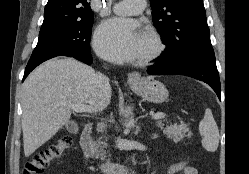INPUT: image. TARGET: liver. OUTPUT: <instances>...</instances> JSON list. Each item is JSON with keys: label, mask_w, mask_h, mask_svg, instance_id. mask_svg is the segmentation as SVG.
I'll return each instance as SVG.
<instances>
[{"label": "liver", "mask_w": 249, "mask_h": 174, "mask_svg": "<svg viewBox=\"0 0 249 174\" xmlns=\"http://www.w3.org/2000/svg\"><path fill=\"white\" fill-rule=\"evenodd\" d=\"M93 68L75 59H51L25 80L22 97L24 154L29 157L69 123L71 104H89L96 110L111 100L96 80Z\"/></svg>", "instance_id": "liver-1"}]
</instances>
